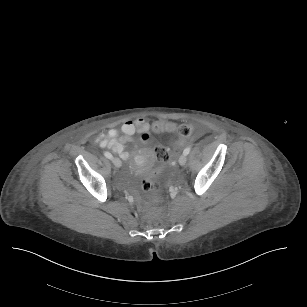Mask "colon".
I'll use <instances>...</instances> for the list:
<instances>
[{
  "instance_id": "obj_1",
  "label": "colon",
  "mask_w": 307,
  "mask_h": 307,
  "mask_svg": "<svg viewBox=\"0 0 307 307\" xmlns=\"http://www.w3.org/2000/svg\"><path fill=\"white\" fill-rule=\"evenodd\" d=\"M178 125L173 120H159L155 123L153 130L159 133H173L177 130ZM192 133V127L188 124H183L178 129L179 138L178 141L183 143L185 138L189 137ZM151 135L148 132L141 134L140 139L143 142L150 140ZM155 157L162 162L163 164L167 163L170 160V151L163 145H157L155 147ZM158 178V173L156 171H150L148 173V178L144 179L142 182L143 190L146 192L155 193L159 189V183L156 180Z\"/></svg>"
}]
</instances>
